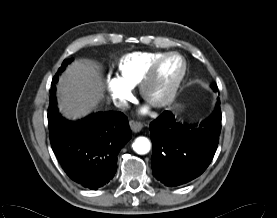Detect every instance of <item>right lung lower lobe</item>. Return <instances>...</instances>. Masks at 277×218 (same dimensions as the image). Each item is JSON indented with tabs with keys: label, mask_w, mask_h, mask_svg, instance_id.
<instances>
[{
	"label": "right lung lower lobe",
	"mask_w": 277,
	"mask_h": 218,
	"mask_svg": "<svg viewBox=\"0 0 277 218\" xmlns=\"http://www.w3.org/2000/svg\"><path fill=\"white\" fill-rule=\"evenodd\" d=\"M57 79L52 82L51 102H56ZM48 121L52 149L66 174L91 190L109 183L117 170V155L131 138L127 117L108 111L73 122L58 113Z\"/></svg>",
	"instance_id": "obj_1"
}]
</instances>
